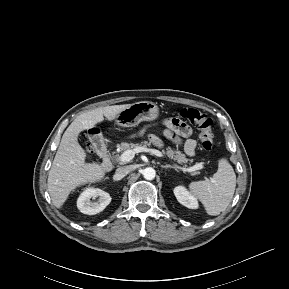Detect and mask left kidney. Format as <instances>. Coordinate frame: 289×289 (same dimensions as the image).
I'll return each instance as SVG.
<instances>
[{"label": "left kidney", "mask_w": 289, "mask_h": 289, "mask_svg": "<svg viewBox=\"0 0 289 289\" xmlns=\"http://www.w3.org/2000/svg\"><path fill=\"white\" fill-rule=\"evenodd\" d=\"M174 195L177 198L178 202L189 209H197L198 201L192 196L185 187L177 186L174 188Z\"/></svg>", "instance_id": "1"}]
</instances>
